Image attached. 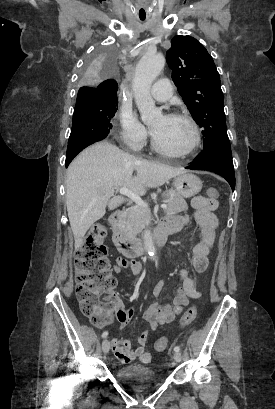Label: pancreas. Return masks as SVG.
I'll return each mask as SVG.
<instances>
[{
	"instance_id": "cf45deb5",
	"label": "pancreas",
	"mask_w": 275,
	"mask_h": 409,
	"mask_svg": "<svg viewBox=\"0 0 275 409\" xmlns=\"http://www.w3.org/2000/svg\"><path fill=\"white\" fill-rule=\"evenodd\" d=\"M163 198H168L166 213H181V211H187V202L184 200L181 194H178L173 188L164 190L162 192ZM151 221L150 211L146 207H132L129 211H126L123 219L119 221V229L123 231L130 239H135L138 233H141L142 229H145L146 225H149Z\"/></svg>"
}]
</instances>
